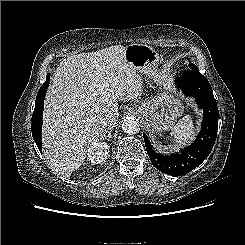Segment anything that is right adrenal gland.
Returning a JSON list of instances; mask_svg holds the SVG:
<instances>
[{
	"instance_id": "obj_1",
	"label": "right adrenal gland",
	"mask_w": 245,
	"mask_h": 245,
	"mask_svg": "<svg viewBox=\"0 0 245 245\" xmlns=\"http://www.w3.org/2000/svg\"><path fill=\"white\" fill-rule=\"evenodd\" d=\"M111 133H112V129L108 131V134L106 135L105 140H108L109 141L111 139V137H112L111 136Z\"/></svg>"
}]
</instances>
